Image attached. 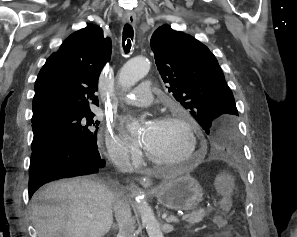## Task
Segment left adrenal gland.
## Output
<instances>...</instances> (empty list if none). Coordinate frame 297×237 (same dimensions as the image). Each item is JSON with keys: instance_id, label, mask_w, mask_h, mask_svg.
<instances>
[{"instance_id": "left-adrenal-gland-1", "label": "left adrenal gland", "mask_w": 297, "mask_h": 237, "mask_svg": "<svg viewBox=\"0 0 297 237\" xmlns=\"http://www.w3.org/2000/svg\"><path fill=\"white\" fill-rule=\"evenodd\" d=\"M165 217H166V215H165ZM166 221L168 222V223H178L179 222V220H178V218H176L175 216H173V215H171V216H169L168 218H166Z\"/></svg>"}]
</instances>
